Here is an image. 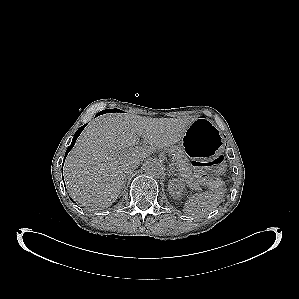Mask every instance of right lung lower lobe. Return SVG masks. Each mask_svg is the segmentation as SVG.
Wrapping results in <instances>:
<instances>
[{
    "label": "right lung lower lobe",
    "mask_w": 299,
    "mask_h": 299,
    "mask_svg": "<svg viewBox=\"0 0 299 299\" xmlns=\"http://www.w3.org/2000/svg\"><path fill=\"white\" fill-rule=\"evenodd\" d=\"M87 124H85V125H83V126H81L78 130H77V132L74 134V137H73V140H72V143H71V145L68 147V149H67V151H66V154H65V157H64V160H65V158H66V156H67V154L70 152V150L73 148V146L75 145V142H76V139L78 138V136L81 134V132L83 131V129L85 128V126H86Z\"/></svg>",
    "instance_id": "right-lung-lower-lobe-1"
}]
</instances>
